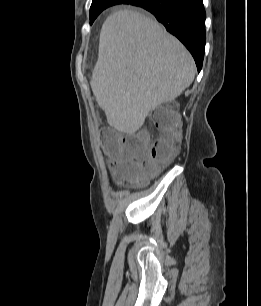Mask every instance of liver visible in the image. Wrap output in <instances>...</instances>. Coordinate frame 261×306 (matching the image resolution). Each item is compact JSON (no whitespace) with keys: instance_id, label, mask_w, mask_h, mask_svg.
I'll list each match as a JSON object with an SVG mask.
<instances>
[{"instance_id":"obj_1","label":"liver","mask_w":261,"mask_h":306,"mask_svg":"<svg viewBox=\"0 0 261 306\" xmlns=\"http://www.w3.org/2000/svg\"><path fill=\"white\" fill-rule=\"evenodd\" d=\"M195 73L190 53L155 20L120 10L103 23L90 84L108 124L133 134L151 111L178 97Z\"/></svg>"}]
</instances>
